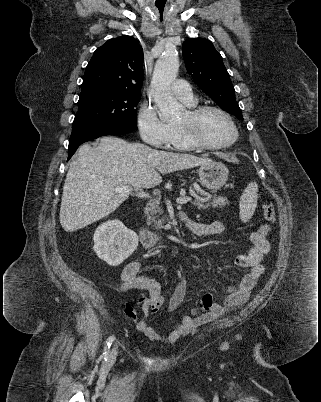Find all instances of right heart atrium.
Masks as SVG:
<instances>
[{
    "mask_svg": "<svg viewBox=\"0 0 321 402\" xmlns=\"http://www.w3.org/2000/svg\"><path fill=\"white\" fill-rule=\"evenodd\" d=\"M137 126L141 139L154 147H165L171 137L170 125L163 122L150 104L141 105L137 114Z\"/></svg>",
    "mask_w": 321,
    "mask_h": 402,
    "instance_id": "obj_1",
    "label": "right heart atrium"
}]
</instances>
